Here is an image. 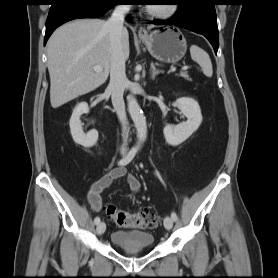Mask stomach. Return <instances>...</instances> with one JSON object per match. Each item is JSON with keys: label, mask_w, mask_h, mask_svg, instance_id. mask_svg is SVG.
<instances>
[{"label": "stomach", "mask_w": 278, "mask_h": 278, "mask_svg": "<svg viewBox=\"0 0 278 278\" xmlns=\"http://www.w3.org/2000/svg\"><path fill=\"white\" fill-rule=\"evenodd\" d=\"M139 38L155 59L165 63L178 62L184 57L187 50L184 35L175 28L155 30L149 35Z\"/></svg>", "instance_id": "0dacf381"}]
</instances>
